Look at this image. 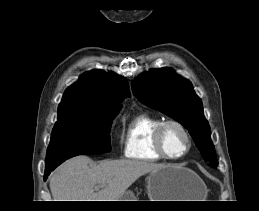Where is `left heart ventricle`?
<instances>
[{
  "instance_id": "obj_1",
  "label": "left heart ventricle",
  "mask_w": 259,
  "mask_h": 211,
  "mask_svg": "<svg viewBox=\"0 0 259 211\" xmlns=\"http://www.w3.org/2000/svg\"><path fill=\"white\" fill-rule=\"evenodd\" d=\"M163 141L167 153L171 156L181 154L186 148V138L175 126H168L163 134Z\"/></svg>"
}]
</instances>
